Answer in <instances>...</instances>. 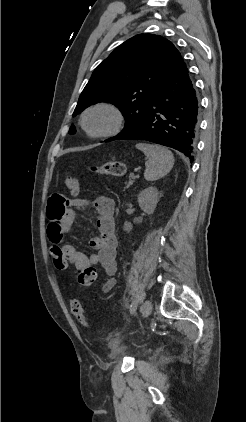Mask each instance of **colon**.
Returning a JSON list of instances; mask_svg holds the SVG:
<instances>
[{"label": "colon", "mask_w": 246, "mask_h": 422, "mask_svg": "<svg viewBox=\"0 0 246 422\" xmlns=\"http://www.w3.org/2000/svg\"><path fill=\"white\" fill-rule=\"evenodd\" d=\"M91 171L103 175H111L120 177L125 174V165L118 161H110L101 166H92ZM64 184L67 190L72 194L76 195L79 191L78 179L70 174H67L64 179ZM51 255L55 267L59 270H64L68 266V261L57 247L52 248ZM97 277V270L95 266H88L77 272V281L82 287L91 286ZM71 312L73 316L84 326L90 328L89 319L86 316V312L82 303L78 299H71L70 301Z\"/></svg>", "instance_id": "5ec220e1"}]
</instances>
